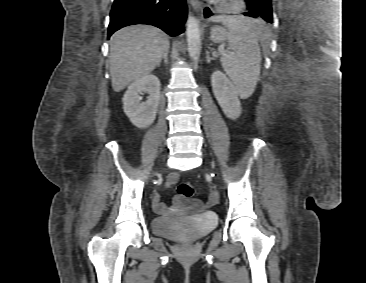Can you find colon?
I'll return each instance as SVG.
<instances>
[{
  "instance_id": "5ec220e1",
  "label": "colon",
  "mask_w": 366,
  "mask_h": 283,
  "mask_svg": "<svg viewBox=\"0 0 366 283\" xmlns=\"http://www.w3.org/2000/svg\"><path fill=\"white\" fill-rule=\"evenodd\" d=\"M179 196L183 198H191L195 193V187L191 182L182 181L177 188ZM190 208L192 211H196L200 208V202L197 200H191Z\"/></svg>"
}]
</instances>
